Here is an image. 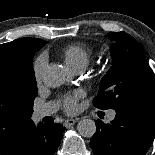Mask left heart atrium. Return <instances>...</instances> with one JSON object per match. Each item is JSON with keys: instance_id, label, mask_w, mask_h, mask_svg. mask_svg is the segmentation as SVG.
<instances>
[{"instance_id": "1", "label": "left heart atrium", "mask_w": 155, "mask_h": 155, "mask_svg": "<svg viewBox=\"0 0 155 155\" xmlns=\"http://www.w3.org/2000/svg\"><path fill=\"white\" fill-rule=\"evenodd\" d=\"M64 108L69 113L77 111V96H69L65 98Z\"/></svg>"}]
</instances>
